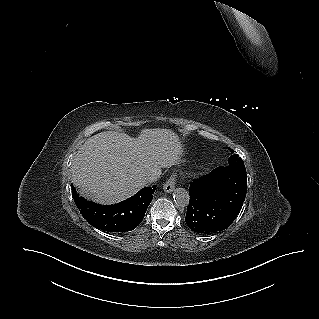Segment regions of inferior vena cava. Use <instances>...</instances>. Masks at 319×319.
I'll return each instance as SVG.
<instances>
[{"label":"inferior vena cava","mask_w":319,"mask_h":319,"mask_svg":"<svg viewBox=\"0 0 319 319\" xmlns=\"http://www.w3.org/2000/svg\"><path fill=\"white\" fill-rule=\"evenodd\" d=\"M159 178V176L156 173H149L146 177H145V182L149 183V182H154Z\"/></svg>","instance_id":"inferior-vena-cava-1"}]
</instances>
